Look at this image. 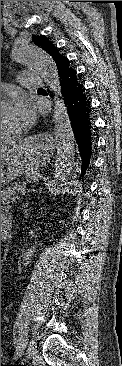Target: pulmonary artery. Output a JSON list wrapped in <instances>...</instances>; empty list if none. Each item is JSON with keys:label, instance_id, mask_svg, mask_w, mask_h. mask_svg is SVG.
Returning <instances> with one entry per match:
<instances>
[{"label": "pulmonary artery", "instance_id": "e3ab8cb5", "mask_svg": "<svg viewBox=\"0 0 122 366\" xmlns=\"http://www.w3.org/2000/svg\"><path fill=\"white\" fill-rule=\"evenodd\" d=\"M19 81L27 88L38 89L44 86V80L38 72L25 69L19 72L17 75Z\"/></svg>", "mask_w": 122, "mask_h": 366}]
</instances>
